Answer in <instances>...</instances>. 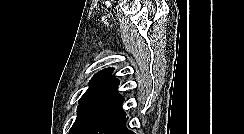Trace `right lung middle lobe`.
Masks as SVG:
<instances>
[{
  "instance_id": "dd1d6c3e",
  "label": "right lung middle lobe",
  "mask_w": 244,
  "mask_h": 134,
  "mask_svg": "<svg viewBox=\"0 0 244 134\" xmlns=\"http://www.w3.org/2000/svg\"><path fill=\"white\" fill-rule=\"evenodd\" d=\"M121 100H106L78 106L77 118L69 134H109L125 112Z\"/></svg>"
}]
</instances>
